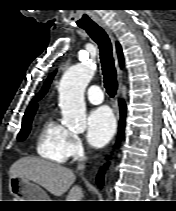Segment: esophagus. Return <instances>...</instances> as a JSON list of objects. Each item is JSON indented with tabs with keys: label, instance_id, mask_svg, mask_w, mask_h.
<instances>
[{
	"label": "esophagus",
	"instance_id": "34e87169",
	"mask_svg": "<svg viewBox=\"0 0 176 211\" xmlns=\"http://www.w3.org/2000/svg\"><path fill=\"white\" fill-rule=\"evenodd\" d=\"M98 24L107 33V35L109 36L111 43H112L113 57H114L116 69L118 72L119 83H120V89H119V93H120L122 81H123V72L119 65V59H118V54H117V49H116V39H115V36H114L112 30L110 29V27L107 24H105L104 22H99Z\"/></svg>",
	"mask_w": 176,
	"mask_h": 211
}]
</instances>
